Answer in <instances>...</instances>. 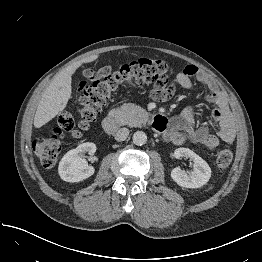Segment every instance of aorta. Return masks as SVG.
I'll return each instance as SVG.
<instances>
[{"label":"aorta","instance_id":"obj_1","mask_svg":"<svg viewBox=\"0 0 262 262\" xmlns=\"http://www.w3.org/2000/svg\"><path fill=\"white\" fill-rule=\"evenodd\" d=\"M132 139L135 145L142 146L147 142V135L143 131H136Z\"/></svg>","mask_w":262,"mask_h":262}]
</instances>
